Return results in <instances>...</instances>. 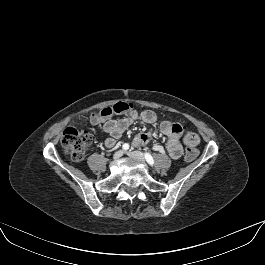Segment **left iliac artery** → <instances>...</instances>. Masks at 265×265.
I'll return each instance as SVG.
<instances>
[{
	"mask_svg": "<svg viewBox=\"0 0 265 265\" xmlns=\"http://www.w3.org/2000/svg\"><path fill=\"white\" fill-rule=\"evenodd\" d=\"M145 159L151 166L154 165V159L149 153H145Z\"/></svg>",
	"mask_w": 265,
	"mask_h": 265,
	"instance_id": "1",
	"label": "left iliac artery"
}]
</instances>
